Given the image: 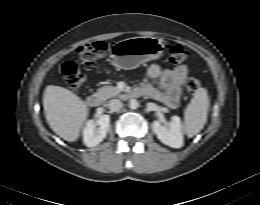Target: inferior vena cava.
<instances>
[{"instance_id": "inferior-vena-cava-1", "label": "inferior vena cava", "mask_w": 260, "mask_h": 205, "mask_svg": "<svg viewBox=\"0 0 260 205\" xmlns=\"http://www.w3.org/2000/svg\"><path fill=\"white\" fill-rule=\"evenodd\" d=\"M122 106V102L118 99H112L108 104L109 109L113 112L119 111L122 108Z\"/></svg>"}]
</instances>
